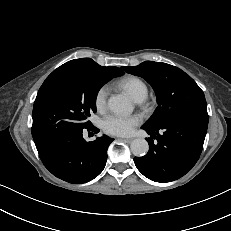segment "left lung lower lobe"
Returning <instances> with one entry per match:
<instances>
[{
    "label": "left lung lower lobe",
    "mask_w": 231,
    "mask_h": 231,
    "mask_svg": "<svg viewBox=\"0 0 231 231\" xmlns=\"http://www.w3.org/2000/svg\"><path fill=\"white\" fill-rule=\"evenodd\" d=\"M208 113H187L158 127L142 126L150 138L149 151L135 157L137 169L155 182H171L184 176L196 164L207 132ZM152 139H156L154 144Z\"/></svg>",
    "instance_id": "1"
}]
</instances>
